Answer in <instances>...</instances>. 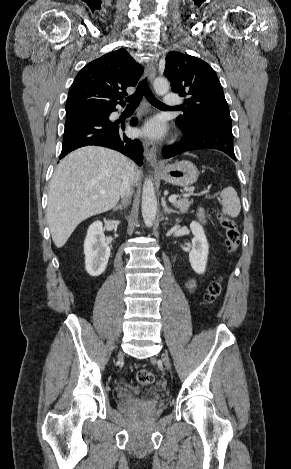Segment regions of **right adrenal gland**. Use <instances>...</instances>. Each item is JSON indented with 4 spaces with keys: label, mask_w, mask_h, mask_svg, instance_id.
<instances>
[{
    "label": "right adrenal gland",
    "mask_w": 291,
    "mask_h": 469,
    "mask_svg": "<svg viewBox=\"0 0 291 469\" xmlns=\"http://www.w3.org/2000/svg\"><path fill=\"white\" fill-rule=\"evenodd\" d=\"M129 204H130V201L123 202L122 204L115 206L114 210L125 209Z\"/></svg>",
    "instance_id": "2a0ac1e0"
}]
</instances>
